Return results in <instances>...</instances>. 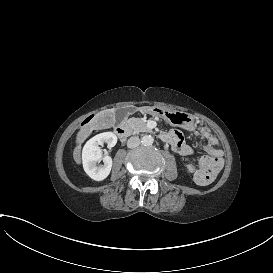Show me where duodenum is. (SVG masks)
I'll return each instance as SVG.
<instances>
[{
    "label": "duodenum",
    "mask_w": 273,
    "mask_h": 273,
    "mask_svg": "<svg viewBox=\"0 0 273 273\" xmlns=\"http://www.w3.org/2000/svg\"><path fill=\"white\" fill-rule=\"evenodd\" d=\"M116 135L118 136L119 139L124 140L127 135H128V129L125 125H119L115 129ZM163 141H167L166 137L164 135L161 136Z\"/></svg>",
    "instance_id": "duodenum-1"
}]
</instances>
